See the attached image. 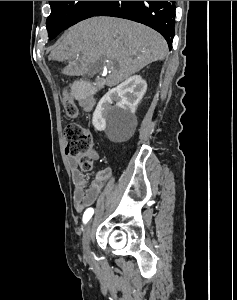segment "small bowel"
<instances>
[{
  "mask_svg": "<svg viewBox=\"0 0 237 300\" xmlns=\"http://www.w3.org/2000/svg\"><path fill=\"white\" fill-rule=\"evenodd\" d=\"M79 103L87 112L91 111L94 106L93 99H83L80 100ZM88 154L93 160L99 158V153L94 147L90 149ZM68 164L72 181L75 186L74 208L77 212L81 213L94 204L106 187L112 185L113 171L111 168H105L99 171L93 178L87 179L79 170L75 158H69Z\"/></svg>",
  "mask_w": 237,
  "mask_h": 300,
  "instance_id": "1",
  "label": "small bowel"
}]
</instances>
